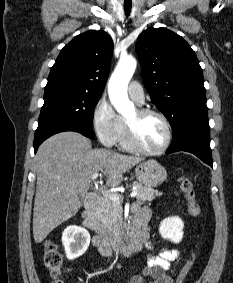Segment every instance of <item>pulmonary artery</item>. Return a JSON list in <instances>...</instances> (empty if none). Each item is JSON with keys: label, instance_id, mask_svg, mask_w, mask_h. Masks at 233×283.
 Returning <instances> with one entry per match:
<instances>
[{"label": "pulmonary artery", "instance_id": "e3ab8cb5", "mask_svg": "<svg viewBox=\"0 0 233 283\" xmlns=\"http://www.w3.org/2000/svg\"><path fill=\"white\" fill-rule=\"evenodd\" d=\"M128 93L137 104L141 105L144 103V91L138 82L133 81L129 84Z\"/></svg>", "mask_w": 233, "mask_h": 283}]
</instances>
